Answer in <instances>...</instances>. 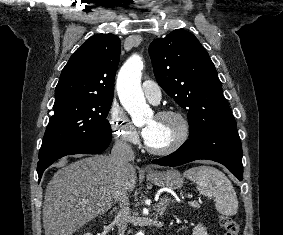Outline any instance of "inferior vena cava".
<instances>
[{"mask_svg":"<svg viewBox=\"0 0 283 235\" xmlns=\"http://www.w3.org/2000/svg\"><path fill=\"white\" fill-rule=\"evenodd\" d=\"M134 158V151L132 150V147L127 142V140L124 138L116 140L111 151L110 159L114 165L116 173L114 199L120 207L116 219L118 235H125L127 226L131 221L126 178L128 172L133 167L131 162L134 160Z\"/></svg>","mask_w":283,"mask_h":235,"instance_id":"obj_1","label":"inferior vena cava"}]
</instances>
